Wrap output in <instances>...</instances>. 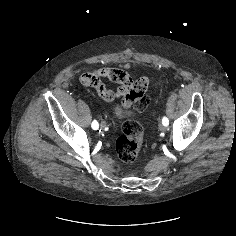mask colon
Instances as JSON below:
<instances>
[{
  "instance_id": "1",
  "label": "colon",
  "mask_w": 236,
  "mask_h": 236,
  "mask_svg": "<svg viewBox=\"0 0 236 236\" xmlns=\"http://www.w3.org/2000/svg\"><path fill=\"white\" fill-rule=\"evenodd\" d=\"M148 102L145 90L132 105L137 111H144L148 106ZM142 140L143 129L141 125L134 120L124 122L122 132L115 142L119 158L124 162L134 161L140 152Z\"/></svg>"
}]
</instances>
